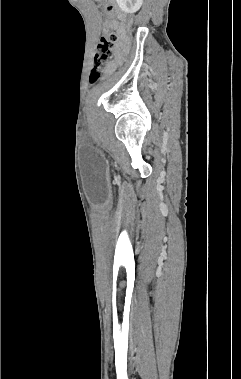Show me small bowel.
<instances>
[{
  "label": "small bowel",
  "instance_id": "c3829d8e",
  "mask_svg": "<svg viewBox=\"0 0 241 379\" xmlns=\"http://www.w3.org/2000/svg\"><path fill=\"white\" fill-rule=\"evenodd\" d=\"M125 19L123 16L120 17V22L117 23L115 21H107L105 23V26H104V32H107V30L109 28H114V29H117L122 35L125 34ZM114 67L113 64H111L109 67H108V71L112 70Z\"/></svg>",
  "mask_w": 241,
  "mask_h": 379
}]
</instances>
